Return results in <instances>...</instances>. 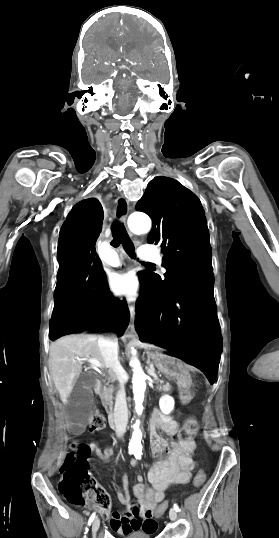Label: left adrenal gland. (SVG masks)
Instances as JSON below:
<instances>
[{"instance_id":"left-adrenal-gland-1","label":"left adrenal gland","mask_w":279,"mask_h":538,"mask_svg":"<svg viewBox=\"0 0 279 538\" xmlns=\"http://www.w3.org/2000/svg\"><path fill=\"white\" fill-rule=\"evenodd\" d=\"M148 362H150V360H148ZM157 380H159V378H157Z\"/></svg>"}]
</instances>
